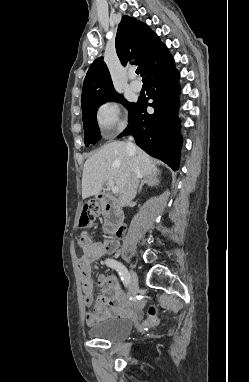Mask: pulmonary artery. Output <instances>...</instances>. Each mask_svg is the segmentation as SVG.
I'll return each mask as SVG.
<instances>
[{
  "label": "pulmonary artery",
  "mask_w": 249,
  "mask_h": 382,
  "mask_svg": "<svg viewBox=\"0 0 249 382\" xmlns=\"http://www.w3.org/2000/svg\"><path fill=\"white\" fill-rule=\"evenodd\" d=\"M130 79H131V82H130V86L133 90L135 91H140L141 88H142V83L141 81H139L138 79H136V76H135V73L134 71H132L130 73Z\"/></svg>",
  "instance_id": "e3ab8cb5"
}]
</instances>
